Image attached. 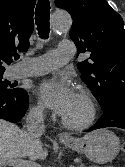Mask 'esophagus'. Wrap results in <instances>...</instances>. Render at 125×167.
I'll return each instance as SVG.
<instances>
[{
	"label": "esophagus",
	"instance_id": "obj_1",
	"mask_svg": "<svg viewBox=\"0 0 125 167\" xmlns=\"http://www.w3.org/2000/svg\"><path fill=\"white\" fill-rule=\"evenodd\" d=\"M58 138L59 139H66V140L71 139L70 135L67 133H59Z\"/></svg>",
	"mask_w": 125,
	"mask_h": 167
}]
</instances>
